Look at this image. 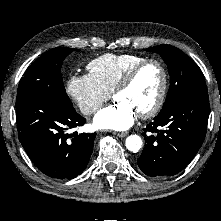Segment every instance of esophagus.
<instances>
[{"mask_svg": "<svg viewBox=\"0 0 221 221\" xmlns=\"http://www.w3.org/2000/svg\"><path fill=\"white\" fill-rule=\"evenodd\" d=\"M114 134L117 135L118 137H121V138H123L127 135L126 132H114Z\"/></svg>", "mask_w": 221, "mask_h": 221, "instance_id": "obj_1", "label": "esophagus"}]
</instances>
